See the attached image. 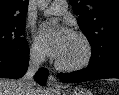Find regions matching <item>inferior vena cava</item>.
Instances as JSON below:
<instances>
[{
	"mask_svg": "<svg viewBox=\"0 0 119 95\" xmlns=\"http://www.w3.org/2000/svg\"><path fill=\"white\" fill-rule=\"evenodd\" d=\"M45 56L39 52H31L29 57V66L26 74L20 80L22 95H35V81L33 76L40 68Z\"/></svg>",
	"mask_w": 119,
	"mask_h": 95,
	"instance_id": "1",
	"label": "inferior vena cava"
}]
</instances>
